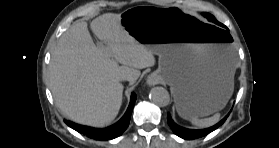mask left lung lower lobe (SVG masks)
<instances>
[{"label": "left lung lower lobe", "mask_w": 279, "mask_h": 148, "mask_svg": "<svg viewBox=\"0 0 279 148\" xmlns=\"http://www.w3.org/2000/svg\"><path fill=\"white\" fill-rule=\"evenodd\" d=\"M229 114L224 119H222L218 124H216V125H214V126H212L210 128L202 129V130H192V129H186V128L180 127V126L176 125L173 122V120L171 119L170 114H168L167 120H168V124L171 127L172 131L177 136H179V137H181L183 139L192 140V139H196V138H200V137L206 136L210 132H212L215 129H217L222 123H224V121L229 116Z\"/></svg>", "instance_id": "1"}]
</instances>
